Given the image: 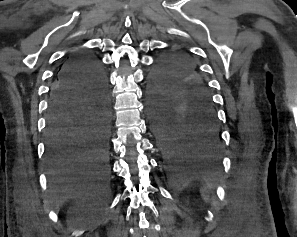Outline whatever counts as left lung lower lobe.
<instances>
[{"label":"left lung lower lobe","mask_w":297,"mask_h":237,"mask_svg":"<svg viewBox=\"0 0 297 237\" xmlns=\"http://www.w3.org/2000/svg\"><path fill=\"white\" fill-rule=\"evenodd\" d=\"M157 144L176 167L217 168L221 136L213 104L189 101L181 106L150 103Z\"/></svg>","instance_id":"left-lung-lower-lobe-1"}]
</instances>
